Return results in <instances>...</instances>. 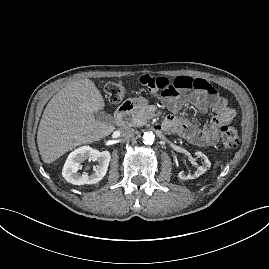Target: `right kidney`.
I'll return each instance as SVG.
<instances>
[{
  "label": "right kidney",
  "mask_w": 269,
  "mask_h": 269,
  "mask_svg": "<svg viewBox=\"0 0 269 269\" xmlns=\"http://www.w3.org/2000/svg\"><path fill=\"white\" fill-rule=\"evenodd\" d=\"M97 161L94 172L90 175L80 173V165L86 160ZM111 155L108 151L100 152L90 146H82L72 151L63 168L62 175L65 180L74 185L95 184L103 179L108 170Z\"/></svg>",
  "instance_id": "obj_1"
}]
</instances>
